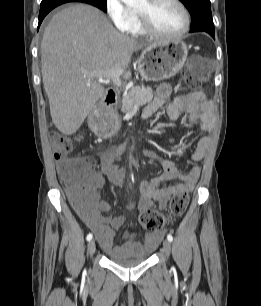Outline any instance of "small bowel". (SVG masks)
<instances>
[{
    "label": "small bowel",
    "mask_w": 261,
    "mask_h": 306,
    "mask_svg": "<svg viewBox=\"0 0 261 306\" xmlns=\"http://www.w3.org/2000/svg\"><path fill=\"white\" fill-rule=\"evenodd\" d=\"M172 89L168 84L161 85L157 90L156 97L143 109L142 120L150 118L167 101L170 100ZM186 114L190 125L199 124L205 131H209L214 123L213 104L202 92H190L175 96L171 99L166 107V116L169 120H176L180 114ZM210 146V137H202L195 150L191 154V159L196 164L187 173H182L177 163L165 158L156 152L144 149L143 154L146 157L159 159L164 168V173L151 180H143L139 184V208L142 210L149 208L164 209L170 197L177 192H190L198 180L201 168L200 163ZM128 145L122 143L116 145L105 152L101 158L102 172L96 170L95 162L92 158H82L88 166V185L92 189L93 195L81 207V218L94 233L101 248L109 256H122L125 254H137L142 251H152L162 241L164 231H157L146 236V244L135 242L133 234L129 233L130 240L121 246H113L115 231L119 229L125 221L123 216L105 217L103 213L110 210L107 201L99 198L98 190L101 189L106 181L114 186H121L125 175L124 168L119 164L122 155L127 151ZM58 169L65 163L68 158H63L59 153L56 155ZM179 180L180 183L172 184L166 187L162 185L166 182Z\"/></svg>",
    "instance_id": "small-bowel-1"
}]
</instances>
